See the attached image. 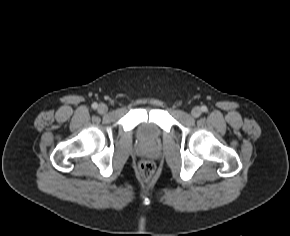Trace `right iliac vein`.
<instances>
[{
    "instance_id": "63e3f726",
    "label": "right iliac vein",
    "mask_w": 290,
    "mask_h": 236,
    "mask_svg": "<svg viewBox=\"0 0 290 236\" xmlns=\"http://www.w3.org/2000/svg\"><path fill=\"white\" fill-rule=\"evenodd\" d=\"M97 110H98V112H99L100 114H104V113H106V112L108 111V107H107V105L101 103V104L98 106Z\"/></svg>"
}]
</instances>
